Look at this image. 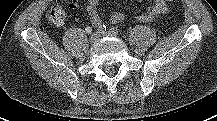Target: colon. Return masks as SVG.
<instances>
[{
  "label": "colon",
  "instance_id": "1",
  "mask_svg": "<svg viewBox=\"0 0 217 121\" xmlns=\"http://www.w3.org/2000/svg\"><path fill=\"white\" fill-rule=\"evenodd\" d=\"M168 2H176L177 0H167ZM47 18L50 23L55 26H62L66 22L67 10L63 5L53 6L47 15Z\"/></svg>",
  "mask_w": 217,
  "mask_h": 121
}]
</instances>
